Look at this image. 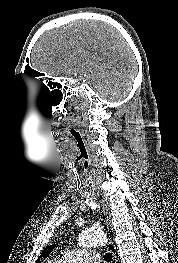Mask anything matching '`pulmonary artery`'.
<instances>
[{
    "label": "pulmonary artery",
    "instance_id": "obj_1",
    "mask_svg": "<svg viewBox=\"0 0 178 263\" xmlns=\"http://www.w3.org/2000/svg\"><path fill=\"white\" fill-rule=\"evenodd\" d=\"M60 263H99V254L90 249H73L65 251L56 259Z\"/></svg>",
    "mask_w": 178,
    "mask_h": 263
}]
</instances>
